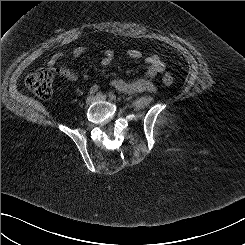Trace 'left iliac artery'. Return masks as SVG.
Listing matches in <instances>:
<instances>
[{"label": "left iliac artery", "instance_id": "obj_1", "mask_svg": "<svg viewBox=\"0 0 245 245\" xmlns=\"http://www.w3.org/2000/svg\"><path fill=\"white\" fill-rule=\"evenodd\" d=\"M109 98L111 100H116V95L112 94V93H109Z\"/></svg>", "mask_w": 245, "mask_h": 245}]
</instances>
